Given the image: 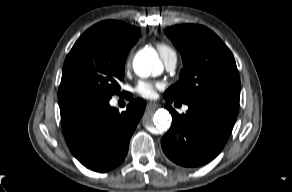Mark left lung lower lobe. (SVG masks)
Here are the masks:
<instances>
[{
  "instance_id": "left-lung-lower-lobe-1",
  "label": "left lung lower lobe",
  "mask_w": 292,
  "mask_h": 192,
  "mask_svg": "<svg viewBox=\"0 0 292 192\" xmlns=\"http://www.w3.org/2000/svg\"><path fill=\"white\" fill-rule=\"evenodd\" d=\"M165 99L169 103L173 101L168 97ZM187 105L188 111L182 115L165 105L173 123L163 136L161 146L174 163L183 167H198L210 162L223 149L233 129L239 105L226 102Z\"/></svg>"
}]
</instances>
